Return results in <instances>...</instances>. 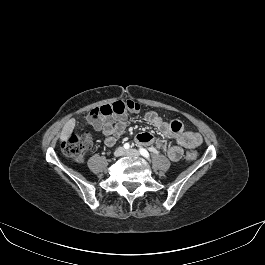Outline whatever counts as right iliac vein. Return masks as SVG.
Instances as JSON below:
<instances>
[{"label": "right iliac vein", "instance_id": "63e3f726", "mask_svg": "<svg viewBox=\"0 0 265 265\" xmlns=\"http://www.w3.org/2000/svg\"><path fill=\"white\" fill-rule=\"evenodd\" d=\"M124 154H125V150L122 147L117 148L114 152L115 157H120V156H123Z\"/></svg>", "mask_w": 265, "mask_h": 265}]
</instances>
